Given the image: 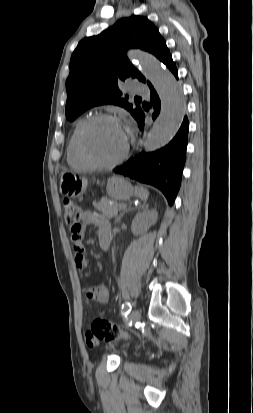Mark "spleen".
<instances>
[{
  "label": "spleen",
  "instance_id": "1",
  "mask_svg": "<svg viewBox=\"0 0 253 413\" xmlns=\"http://www.w3.org/2000/svg\"><path fill=\"white\" fill-rule=\"evenodd\" d=\"M135 193L143 201H147V199L149 197L148 190L143 188V187L136 186L135 187Z\"/></svg>",
  "mask_w": 253,
  "mask_h": 413
}]
</instances>
